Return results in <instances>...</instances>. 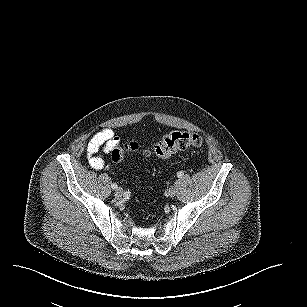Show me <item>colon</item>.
<instances>
[{
	"label": "colon",
	"mask_w": 307,
	"mask_h": 307,
	"mask_svg": "<svg viewBox=\"0 0 307 307\" xmlns=\"http://www.w3.org/2000/svg\"><path fill=\"white\" fill-rule=\"evenodd\" d=\"M203 145V138L198 133L187 131H174L165 135L159 142H157L151 153L162 159L170 158L179 151L188 149L190 147H201ZM139 145L136 142H129L122 147H114L111 150V159L114 163L120 164L125 155L138 151Z\"/></svg>",
	"instance_id": "1"
}]
</instances>
